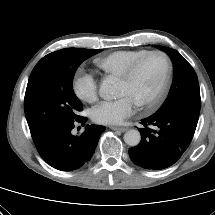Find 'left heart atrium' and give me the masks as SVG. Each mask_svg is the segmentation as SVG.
<instances>
[{
  "mask_svg": "<svg viewBox=\"0 0 215 215\" xmlns=\"http://www.w3.org/2000/svg\"><path fill=\"white\" fill-rule=\"evenodd\" d=\"M136 102L129 95H121L110 101H103L92 110L94 122L103 125H117L131 116L136 108Z\"/></svg>",
  "mask_w": 215,
  "mask_h": 215,
  "instance_id": "left-heart-atrium-1",
  "label": "left heart atrium"
}]
</instances>
